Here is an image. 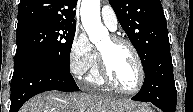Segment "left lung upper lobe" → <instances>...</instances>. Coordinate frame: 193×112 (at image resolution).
Masks as SVG:
<instances>
[{
	"label": "left lung upper lobe",
	"mask_w": 193,
	"mask_h": 112,
	"mask_svg": "<svg viewBox=\"0 0 193 112\" xmlns=\"http://www.w3.org/2000/svg\"><path fill=\"white\" fill-rule=\"evenodd\" d=\"M109 3L146 69L153 56L169 45L160 0H109Z\"/></svg>",
	"instance_id": "obj_1"
}]
</instances>
